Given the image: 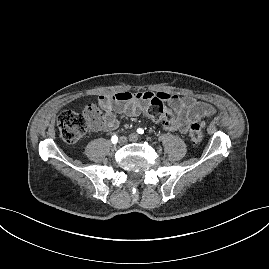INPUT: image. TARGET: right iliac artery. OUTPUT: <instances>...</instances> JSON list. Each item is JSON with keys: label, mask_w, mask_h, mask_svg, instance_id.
<instances>
[{"label": "right iliac artery", "mask_w": 269, "mask_h": 269, "mask_svg": "<svg viewBox=\"0 0 269 269\" xmlns=\"http://www.w3.org/2000/svg\"><path fill=\"white\" fill-rule=\"evenodd\" d=\"M111 141H112L113 144H116L117 141H118V137H117L116 135H113V136L111 137Z\"/></svg>", "instance_id": "82829eb1"}]
</instances>
